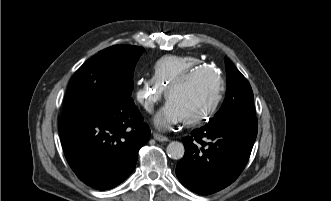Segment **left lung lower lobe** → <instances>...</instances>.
Segmentation results:
<instances>
[{"mask_svg":"<svg viewBox=\"0 0 331 201\" xmlns=\"http://www.w3.org/2000/svg\"><path fill=\"white\" fill-rule=\"evenodd\" d=\"M257 136V119H227L192 131L176 167L180 182L209 195L234 182L245 168Z\"/></svg>","mask_w":331,"mask_h":201,"instance_id":"left-lung-lower-lobe-1","label":"left lung lower lobe"}]
</instances>
